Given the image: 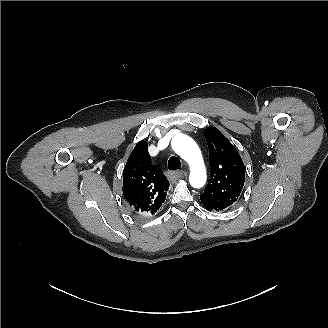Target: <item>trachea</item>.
Listing matches in <instances>:
<instances>
[{"label": "trachea", "instance_id": "trachea-1", "mask_svg": "<svg viewBox=\"0 0 328 328\" xmlns=\"http://www.w3.org/2000/svg\"><path fill=\"white\" fill-rule=\"evenodd\" d=\"M181 167V162L178 157L176 156H171L168 160V168L169 170H177L180 169Z\"/></svg>", "mask_w": 328, "mask_h": 328}]
</instances>
